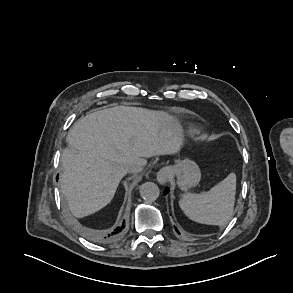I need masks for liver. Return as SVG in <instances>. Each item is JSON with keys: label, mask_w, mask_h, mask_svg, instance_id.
Masks as SVG:
<instances>
[{"label": "liver", "mask_w": 293, "mask_h": 293, "mask_svg": "<svg viewBox=\"0 0 293 293\" xmlns=\"http://www.w3.org/2000/svg\"><path fill=\"white\" fill-rule=\"evenodd\" d=\"M173 117L165 112L118 106L80 118L62 152L61 191L77 218L91 215L113 199L131 164L174 154L179 140L165 131Z\"/></svg>", "instance_id": "6515ba94"}]
</instances>
